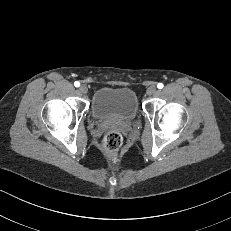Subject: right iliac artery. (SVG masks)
I'll return each mask as SVG.
<instances>
[{"mask_svg":"<svg viewBox=\"0 0 231 231\" xmlns=\"http://www.w3.org/2000/svg\"><path fill=\"white\" fill-rule=\"evenodd\" d=\"M74 85H75V87H79V86H80V83H79L78 81H76V82L74 83Z\"/></svg>","mask_w":231,"mask_h":231,"instance_id":"82829eb1","label":"right iliac artery"}]
</instances>
